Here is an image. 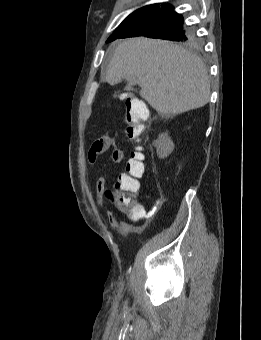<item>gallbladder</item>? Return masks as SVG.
<instances>
[{"label": "gallbladder", "instance_id": "bac80fb5", "mask_svg": "<svg viewBox=\"0 0 261 340\" xmlns=\"http://www.w3.org/2000/svg\"><path fill=\"white\" fill-rule=\"evenodd\" d=\"M136 83H137L136 80H130V81H129V84H130V85L136 84Z\"/></svg>", "mask_w": 261, "mask_h": 340}]
</instances>
